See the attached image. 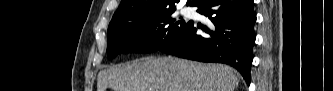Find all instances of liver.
<instances>
[{"instance_id": "liver-1", "label": "liver", "mask_w": 333, "mask_h": 91, "mask_svg": "<svg viewBox=\"0 0 333 91\" xmlns=\"http://www.w3.org/2000/svg\"><path fill=\"white\" fill-rule=\"evenodd\" d=\"M238 84V76L229 66L168 56L102 70L97 91H234Z\"/></svg>"}]
</instances>
